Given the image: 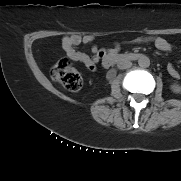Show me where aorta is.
Wrapping results in <instances>:
<instances>
[{
    "instance_id": "aorta-1",
    "label": "aorta",
    "mask_w": 181,
    "mask_h": 181,
    "mask_svg": "<svg viewBox=\"0 0 181 181\" xmlns=\"http://www.w3.org/2000/svg\"><path fill=\"white\" fill-rule=\"evenodd\" d=\"M138 64L142 68H147L150 66V59L146 55H142L138 59Z\"/></svg>"
}]
</instances>
